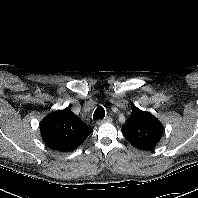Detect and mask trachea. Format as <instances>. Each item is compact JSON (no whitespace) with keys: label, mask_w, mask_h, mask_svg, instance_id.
<instances>
[{"label":"trachea","mask_w":198,"mask_h":198,"mask_svg":"<svg viewBox=\"0 0 198 198\" xmlns=\"http://www.w3.org/2000/svg\"><path fill=\"white\" fill-rule=\"evenodd\" d=\"M105 117V110L102 106H99L93 114V119L94 120H99V119H104Z\"/></svg>","instance_id":"obj_1"}]
</instances>
